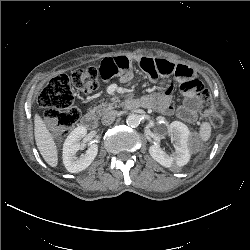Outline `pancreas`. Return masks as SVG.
I'll return each instance as SVG.
<instances>
[{"mask_svg": "<svg viewBox=\"0 0 250 250\" xmlns=\"http://www.w3.org/2000/svg\"><path fill=\"white\" fill-rule=\"evenodd\" d=\"M117 107L116 101L114 102H108V103H102L100 105L94 106L92 111L96 112L99 116L103 115L105 112Z\"/></svg>", "mask_w": 250, "mask_h": 250, "instance_id": "cf45deb5", "label": "pancreas"}]
</instances>
